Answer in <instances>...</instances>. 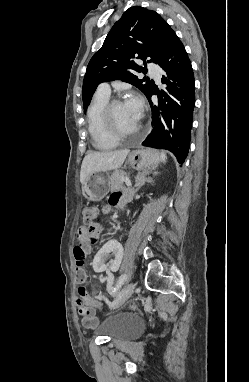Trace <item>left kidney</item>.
Returning <instances> with one entry per match:
<instances>
[{
    "instance_id": "1",
    "label": "left kidney",
    "mask_w": 249,
    "mask_h": 382,
    "mask_svg": "<svg viewBox=\"0 0 249 382\" xmlns=\"http://www.w3.org/2000/svg\"><path fill=\"white\" fill-rule=\"evenodd\" d=\"M159 200V199H157ZM125 245H119L113 238L104 245L92 261L93 271L96 273H107L106 283H113V274L119 267H122V260L125 257ZM111 261V262H105Z\"/></svg>"
}]
</instances>
